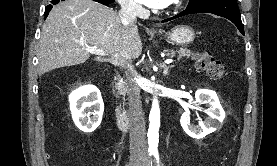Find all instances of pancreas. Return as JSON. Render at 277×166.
<instances>
[{
	"mask_svg": "<svg viewBox=\"0 0 277 166\" xmlns=\"http://www.w3.org/2000/svg\"><path fill=\"white\" fill-rule=\"evenodd\" d=\"M165 53L167 56L175 57L177 55V59H181L183 57H190L191 56V51L187 48H181L179 50H165ZM118 90L121 95H125V83L124 82H119L118 84Z\"/></svg>",
	"mask_w": 277,
	"mask_h": 166,
	"instance_id": "cf45deb5",
	"label": "pancreas"
}]
</instances>
